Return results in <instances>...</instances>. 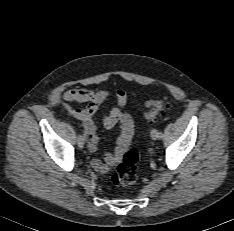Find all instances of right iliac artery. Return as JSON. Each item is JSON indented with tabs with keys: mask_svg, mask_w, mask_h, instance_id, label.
<instances>
[{
	"mask_svg": "<svg viewBox=\"0 0 234 231\" xmlns=\"http://www.w3.org/2000/svg\"><path fill=\"white\" fill-rule=\"evenodd\" d=\"M79 138L84 139L85 138V134H83V135L80 134Z\"/></svg>",
	"mask_w": 234,
	"mask_h": 231,
	"instance_id": "right-iliac-artery-1",
	"label": "right iliac artery"
}]
</instances>
